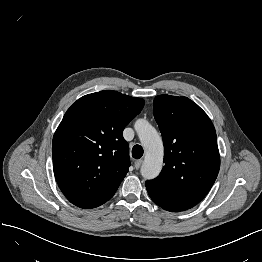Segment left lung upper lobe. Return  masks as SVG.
I'll return each mask as SVG.
<instances>
[{"instance_id":"5c2ea615","label":"left lung upper lobe","mask_w":262,"mask_h":262,"mask_svg":"<svg viewBox=\"0 0 262 262\" xmlns=\"http://www.w3.org/2000/svg\"><path fill=\"white\" fill-rule=\"evenodd\" d=\"M154 116L163 137L165 166L157 178L145 183L147 191L167 211L190 209L206 196L219 172L215 128L187 97L156 96Z\"/></svg>"}]
</instances>
